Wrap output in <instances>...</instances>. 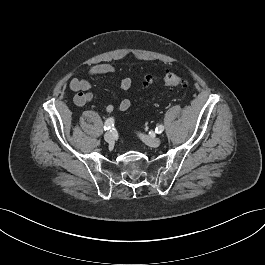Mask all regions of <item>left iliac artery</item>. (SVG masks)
I'll return each mask as SVG.
<instances>
[{
  "label": "left iliac artery",
  "instance_id": "44dca946",
  "mask_svg": "<svg viewBox=\"0 0 265 265\" xmlns=\"http://www.w3.org/2000/svg\"><path fill=\"white\" fill-rule=\"evenodd\" d=\"M164 131V126L163 125H159L158 127H156L155 132L160 134Z\"/></svg>",
  "mask_w": 265,
  "mask_h": 265
}]
</instances>
